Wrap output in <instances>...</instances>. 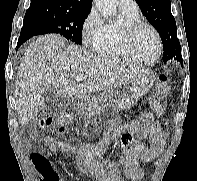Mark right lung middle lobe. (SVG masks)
Instances as JSON below:
<instances>
[{"instance_id": "right-lung-middle-lobe-1", "label": "right lung middle lobe", "mask_w": 197, "mask_h": 181, "mask_svg": "<svg viewBox=\"0 0 197 181\" xmlns=\"http://www.w3.org/2000/svg\"><path fill=\"white\" fill-rule=\"evenodd\" d=\"M89 12L51 9L28 10L21 32H28L33 36L57 33L76 44H82V27Z\"/></svg>"}]
</instances>
